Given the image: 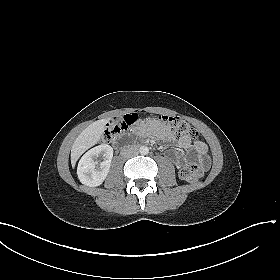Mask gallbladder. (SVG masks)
I'll return each mask as SVG.
<instances>
[{
  "mask_svg": "<svg viewBox=\"0 0 280 280\" xmlns=\"http://www.w3.org/2000/svg\"><path fill=\"white\" fill-rule=\"evenodd\" d=\"M118 121H119V122H121V121H122V119H121V118H119V119H118Z\"/></svg>",
  "mask_w": 280,
  "mask_h": 280,
  "instance_id": "gallbladder-1",
  "label": "gallbladder"
}]
</instances>
